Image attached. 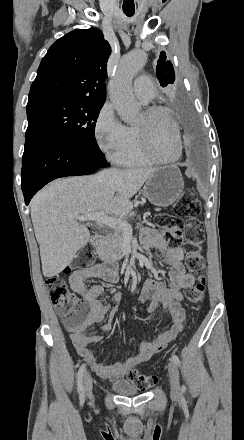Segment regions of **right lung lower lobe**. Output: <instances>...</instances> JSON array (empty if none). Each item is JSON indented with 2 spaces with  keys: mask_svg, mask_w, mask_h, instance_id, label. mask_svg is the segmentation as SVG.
Listing matches in <instances>:
<instances>
[{
  "mask_svg": "<svg viewBox=\"0 0 244 440\" xmlns=\"http://www.w3.org/2000/svg\"><path fill=\"white\" fill-rule=\"evenodd\" d=\"M21 187L25 204L50 181L89 175L109 166L99 148H89L48 132H26Z\"/></svg>",
  "mask_w": 244,
  "mask_h": 440,
  "instance_id": "98d812e1",
  "label": "right lung lower lobe"
}]
</instances>
